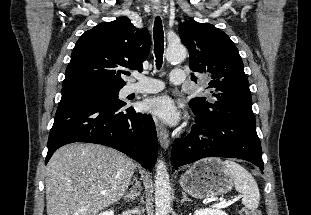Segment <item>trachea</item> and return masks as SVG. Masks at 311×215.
Returning a JSON list of instances; mask_svg holds the SVG:
<instances>
[{"label":"trachea","mask_w":311,"mask_h":215,"mask_svg":"<svg viewBox=\"0 0 311 215\" xmlns=\"http://www.w3.org/2000/svg\"><path fill=\"white\" fill-rule=\"evenodd\" d=\"M154 37V54L156 57V66L161 68L163 63V52H164V32L162 27V21L159 16L156 17L153 28Z\"/></svg>","instance_id":"trachea-1"}]
</instances>
